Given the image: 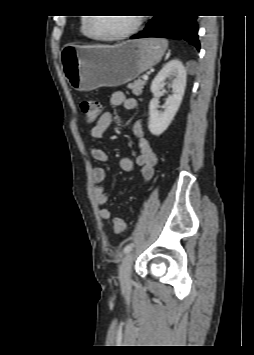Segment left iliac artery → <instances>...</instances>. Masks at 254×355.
Returning <instances> with one entry per match:
<instances>
[{
  "instance_id": "1",
  "label": "left iliac artery",
  "mask_w": 254,
  "mask_h": 355,
  "mask_svg": "<svg viewBox=\"0 0 254 355\" xmlns=\"http://www.w3.org/2000/svg\"><path fill=\"white\" fill-rule=\"evenodd\" d=\"M132 248H133V244L132 243L126 245L125 248H124V253L130 252L132 250Z\"/></svg>"
}]
</instances>
